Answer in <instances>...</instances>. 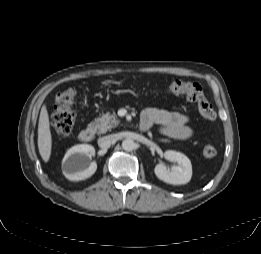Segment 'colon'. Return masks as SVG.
<instances>
[{
	"label": "colon",
	"mask_w": 261,
	"mask_h": 254,
	"mask_svg": "<svg viewBox=\"0 0 261 254\" xmlns=\"http://www.w3.org/2000/svg\"><path fill=\"white\" fill-rule=\"evenodd\" d=\"M166 92L169 95H185L188 100L197 104L205 119L213 121L217 118L214 106L205 97L198 83L176 79L166 84ZM75 97L76 91L73 88L63 90L56 96L51 124L59 135L66 136L72 132L76 117L73 110ZM216 154L217 150L212 145L203 148V155L207 158H212Z\"/></svg>",
	"instance_id": "5ec220e1"
}]
</instances>
